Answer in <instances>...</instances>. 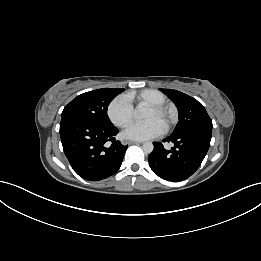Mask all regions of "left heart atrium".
I'll return each mask as SVG.
<instances>
[{
	"instance_id": "39dd6f15",
	"label": "left heart atrium",
	"mask_w": 261,
	"mask_h": 261,
	"mask_svg": "<svg viewBox=\"0 0 261 261\" xmlns=\"http://www.w3.org/2000/svg\"><path fill=\"white\" fill-rule=\"evenodd\" d=\"M165 127L157 120L132 123L123 132V136L131 140H148L162 135Z\"/></svg>"
}]
</instances>
